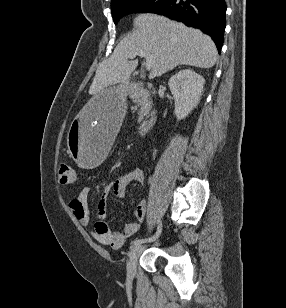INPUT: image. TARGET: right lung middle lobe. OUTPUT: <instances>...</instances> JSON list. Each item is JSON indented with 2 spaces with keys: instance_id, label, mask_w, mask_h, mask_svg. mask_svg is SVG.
Wrapping results in <instances>:
<instances>
[{
  "instance_id": "1",
  "label": "right lung middle lobe",
  "mask_w": 286,
  "mask_h": 308,
  "mask_svg": "<svg viewBox=\"0 0 286 308\" xmlns=\"http://www.w3.org/2000/svg\"><path fill=\"white\" fill-rule=\"evenodd\" d=\"M167 1L168 0H118L115 4L111 5L114 23L116 24L122 16L130 13H153Z\"/></svg>"
}]
</instances>
